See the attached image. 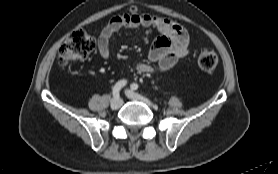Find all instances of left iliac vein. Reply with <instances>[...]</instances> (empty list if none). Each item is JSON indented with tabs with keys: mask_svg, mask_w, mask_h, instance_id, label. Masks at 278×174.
<instances>
[{
	"mask_svg": "<svg viewBox=\"0 0 278 174\" xmlns=\"http://www.w3.org/2000/svg\"><path fill=\"white\" fill-rule=\"evenodd\" d=\"M126 93V96L129 98V99H132V100H136V101H141L145 104H147L148 106H153L154 104L149 100L147 99L146 97L138 94V93H135L131 90H126L125 91Z\"/></svg>",
	"mask_w": 278,
	"mask_h": 174,
	"instance_id": "4c4485c4",
	"label": "left iliac vein"
}]
</instances>
